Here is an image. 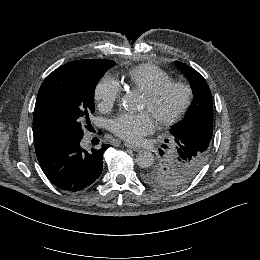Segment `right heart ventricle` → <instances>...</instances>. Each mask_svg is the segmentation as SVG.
Wrapping results in <instances>:
<instances>
[{"instance_id": "obj_1", "label": "right heart ventricle", "mask_w": 260, "mask_h": 260, "mask_svg": "<svg viewBox=\"0 0 260 260\" xmlns=\"http://www.w3.org/2000/svg\"><path fill=\"white\" fill-rule=\"evenodd\" d=\"M128 87L142 93L150 91L162 83L172 80L171 76L158 67L140 65L129 70L123 77Z\"/></svg>"}]
</instances>
